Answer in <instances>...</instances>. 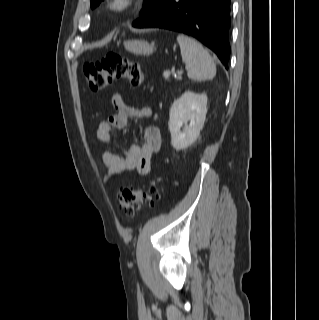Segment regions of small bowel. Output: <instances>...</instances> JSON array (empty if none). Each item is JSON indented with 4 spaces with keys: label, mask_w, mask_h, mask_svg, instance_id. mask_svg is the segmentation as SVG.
I'll list each match as a JSON object with an SVG mask.
<instances>
[{
    "label": "small bowel",
    "mask_w": 319,
    "mask_h": 320,
    "mask_svg": "<svg viewBox=\"0 0 319 320\" xmlns=\"http://www.w3.org/2000/svg\"><path fill=\"white\" fill-rule=\"evenodd\" d=\"M111 101L115 112L106 121L98 124L96 135L101 142L113 146L114 131L125 128L129 119L149 118L152 115V110L148 106L135 107L128 105L120 94H114ZM160 146V129L157 126H148L144 130L142 145H132L123 154H118L114 150L103 151L100 157L107 168L103 176V182L132 170H137L141 175L148 174L152 159L159 151Z\"/></svg>",
    "instance_id": "c3829d8e"
}]
</instances>
